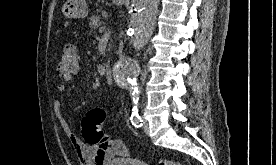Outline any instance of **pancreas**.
<instances>
[{
    "mask_svg": "<svg viewBox=\"0 0 276 165\" xmlns=\"http://www.w3.org/2000/svg\"><path fill=\"white\" fill-rule=\"evenodd\" d=\"M103 24V21L101 20L100 16H92L90 18V23H89V27L91 29H97L98 27H100Z\"/></svg>",
    "mask_w": 276,
    "mask_h": 165,
    "instance_id": "pancreas-1",
    "label": "pancreas"
}]
</instances>
